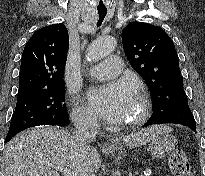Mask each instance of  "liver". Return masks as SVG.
Returning a JSON list of instances; mask_svg holds the SVG:
<instances>
[{
	"label": "liver",
	"mask_w": 205,
	"mask_h": 176,
	"mask_svg": "<svg viewBox=\"0 0 205 176\" xmlns=\"http://www.w3.org/2000/svg\"><path fill=\"white\" fill-rule=\"evenodd\" d=\"M159 127L127 135L123 141L129 147L142 146L151 140ZM4 158L5 176H60L47 163L90 176L101 167V158L95 148L83 146L68 131L53 127L30 129L16 135L6 145Z\"/></svg>",
	"instance_id": "6515ba94"
}]
</instances>
